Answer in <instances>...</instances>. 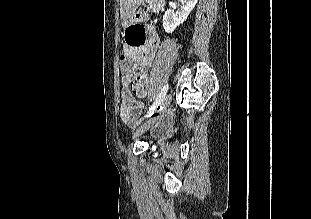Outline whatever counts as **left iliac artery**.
<instances>
[{
	"label": "left iliac artery",
	"instance_id": "44dca946",
	"mask_svg": "<svg viewBox=\"0 0 311 219\" xmlns=\"http://www.w3.org/2000/svg\"><path fill=\"white\" fill-rule=\"evenodd\" d=\"M168 88H169V85L166 84L164 85V87L162 88L161 92L159 93L156 101L153 103V105L149 108L148 112H147V115L145 117H149L151 116L154 111L156 110V108L162 103V101L164 100L165 98V95L168 91Z\"/></svg>",
	"mask_w": 311,
	"mask_h": 219
}]
</instances>
